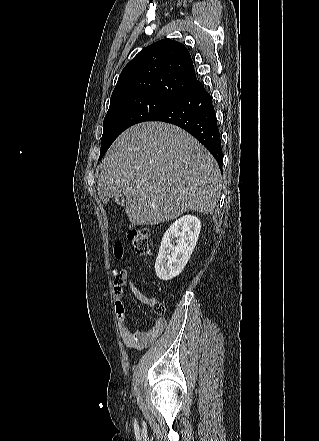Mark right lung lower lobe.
I'll use <instances>...</instances> for the list:
<instances>
[{
	"label": "right lung lower lobe",
	"mask_w": 319,
	"mask_h": 441,
	"mask_svg": "<svg viewBox=\"0 0 319 441\" xmlns=\"http://www.w3.org/2000/svg\"><path fill=\"white\" fill-rule=\"evenodd\" d=\"M148 121H162L181 127L201 142L222 166L221 135L212 97L196 80L177 98Z\"/></svg>",
	"instance_id": "right-lung-lower-lobe-1"
}]
</instances>
